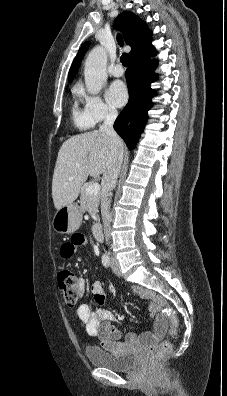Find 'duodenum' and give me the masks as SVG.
<instances>
[{
  "label": "duodenum",
  "mask_w": 227,
  "mask_h": 396,
  "mask_svg": "<svg viewBox=\"0 0 227 396\" xmlns=\"http://www.w3.org/2000/svg\"><path fill=\"white\" fill-rule=\"evenodd\" d=\"M92 234L97 241L102 239V227L99 223L93 225Z\"/></svg>",
  "instance_id": "obj_1"
}]
</instances>
